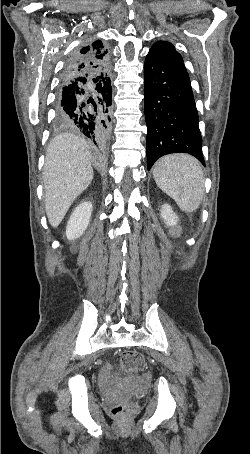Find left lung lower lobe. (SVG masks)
Here are the masks:
<instances>
[{
    "label": "left lung lower lobe",
    "instance_id": "obj_1",
    "mask_svg": "<svg viewBox=\"0 0 250 454\" xmlns=\"http://www.w3.org/2000/svg\"><path fill=\"white\" fill-rule=\"evenodd\" d=\"M144 109L148 170L160 157L177 152L191 154L205 165L198 113L183 62L147 54Z\"/></svg>",
    "mask_w": 250,
    "mask_h": 454
}]
</instances>
